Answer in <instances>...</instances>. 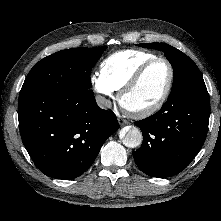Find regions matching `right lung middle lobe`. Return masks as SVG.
I'll return each instance as SVG.
<instances>
[{"label": "right lung middle lobe", "instance_id": "obj_1", "mask_svg": "<svg viewBox=\"0 0 221 221\" xmlns=\"http://www.w3.org/2000/svg\"><path fill=\"white\" fill-rule=\"evenodd\" d=\"M105 47L72 48L56 52L36 63L20 91V96L48 92H81L92 87L90 73Z\"/></svg>", "mask_w": 221, "mask_h": 221}]
</instances>
